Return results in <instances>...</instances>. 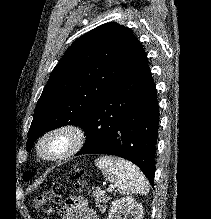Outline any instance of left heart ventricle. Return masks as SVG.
Segmentation results:
<instances>
[{"mask_svg": "<svg viewBox=\"0 0 211 219\" xmlns=\"http://www.w3.org/2000/svg\"><path fill=\"white\" fill-rule=\"evenodd\" d=\"M55 147H56V145H52L51 147H50V149H55Z\"/></svg>", "mask_w": 211, "mask_h": 219, "instance_id": "1", "label": "left heart ventricle"}]
</instances>
